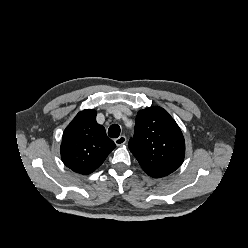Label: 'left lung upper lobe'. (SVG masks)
<instances>
[{
  "mask_svg": "<svg viewBox=\"0 0 248 248\" xmlns=\"http://www.w3.org/2000/svg\"><path fill=\"white\" fill-rule=\"evenodd\" d=\"M129 149L149 176L159 178L180 167L185 141L168 112L154 106L137 113L135 136L129 141Z\"/></svg>",
  "mask_w": 248,
  "mask_h": 248,
  "instance_id": "1",
  "label": "left lung upper lobe"
}]
</instances>
